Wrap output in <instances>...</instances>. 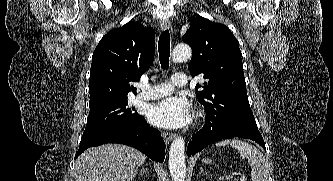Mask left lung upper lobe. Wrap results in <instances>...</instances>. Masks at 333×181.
Instances as JSON below:
<instances>
[{
  "label": "left lung upper lobe",
  "instance_id": "left-lung-upper-lobe-1",
  "mask_svg": "<svg viewBox=\"0 0 333 181\" xmlns=\"http://www.w3.org/2000/svg\"><path fill=\"white\" fill-rule=\"evenodd\" d=\"M192 49L188 69L192 77L203 74L206 82L195 89L206 112H222L257 128L252 114L241 60L239 42L223 24L201 16L195 18L182 37Z\"/></svg>",
  "mask_w": 333,
  "mask_h": 181
}]
</instances>
